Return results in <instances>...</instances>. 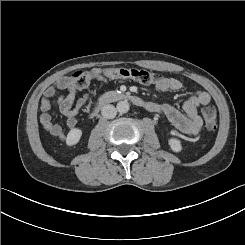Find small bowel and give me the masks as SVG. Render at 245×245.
<instances>
[{"mask_svg": "<svg viewBox=\"0 0 245 245\" xmlns=\"http://www.w3.org/2000/svg\"><path fill=\"white\" fill-rule=\"evenodd\" d=\"M182 87V82L176 78H161L155 84V88L160 91H178ZM56 90L65 91V94L58 99V106L60 112L66 118V126L70 131L78 129L77 115L85 105L88 95L84 94L75 101L76 87L72 79L68 77L56 80L53 85L44 91L40 105V123L52 136L63 140L66 138L63 127L60 124L54 123L50 115L51 100ZM210 99V95L206 91H201L196 95L186 98L182 102L183 113L171 105L162 103H149L148 109L166 118L185 138H190L197 135L202 127V119L198 115V107L207 105Z\"/></svg>", "mask_w": 245, "mask_h": 245, "instance_id": "small-bowel-1", "label": "small bowel"}]
</instances>
